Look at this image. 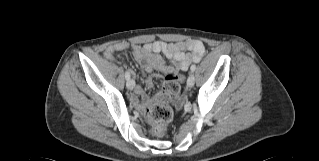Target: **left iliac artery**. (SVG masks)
Returning <instances> with one entry per match:
<instances>
[{"mask_svg": "<svg viewBox=\"0 0 319 161\" xmlns=\"http://www.w3.org/2000/svg\"><path fill=\"white\" fill-rule=\"evenodd\" d=\"M195 69H196V65H192L191 68H190V70H191L192 72H194Z\"/></svg>", "mask_w": 319, "mask_h": 161, "instance_id": "obj_1", "label": "left iliac artery"}]
</instances>
